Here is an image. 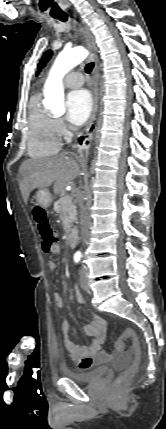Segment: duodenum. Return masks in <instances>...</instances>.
<instances>
[{"mask_svg": "<svg viewBox=\"0 0 166 429\" xmlns=\"http://www.w3.org/2000/svg\"><path fill=\"white\" fill-rule=\"evenodd\" d=\"M68 245L70 248H74L76 245V232L71 231L68 235Z\"/></svg>", "mask_w": 166, "mask_h": 429, "instance_id": "1", "label": "duodenum"}]
</instances>
